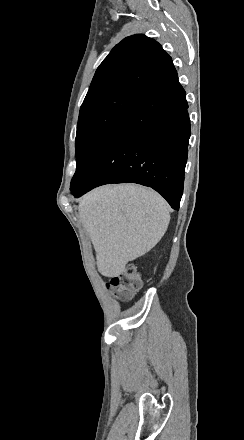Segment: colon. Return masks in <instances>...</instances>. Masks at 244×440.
Returning <instances> with one entry per match:
<instances>
[{
  "label": "colon",
  "instance_id": "5ec220e1",
  "mask_svg": "<svg viewBox=\"0 0 244 440\" xmlns=\"http://www.w3.org/2000/svg\"><path fill=\"white\" fill-rule=\"evenodd\" d=\"M142 278L135 266L128 264L121 273L109 277L106 288L113 290L123 299H128L141 286Z\"/></svg>",
  "mask_w": 244,
  "mask_h": 440
}]
</instances>
